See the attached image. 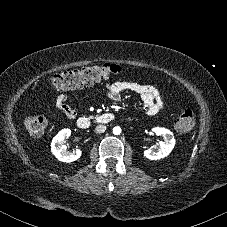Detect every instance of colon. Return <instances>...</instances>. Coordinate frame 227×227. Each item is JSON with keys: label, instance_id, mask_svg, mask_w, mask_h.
Listing matches in <instances>:
<instances>
[{"label": "colon", "instance_id": "colon-1", "mask_svg": "<svg viewBox=\"0 0 227 227\" xmlns=\"http://www.w3.org/2000/svg\"><path fill=\"white\" fill-rule=\"evenodd\" d=\"M123 73L121 67L115 64H99L81 67L78 69L62 71L51 77V85L62 91L82 89L102 79L118 76ZM27 131L34 136L41 135L46 126L44 116H28L24 120ZM195 125V114L192 109H185L176 119L175 128L179 132H188Z\"/></svg>", "mask_w": 227, "mask_h": 227}]
</instances>
